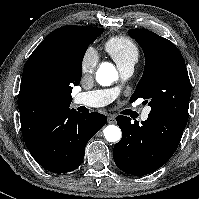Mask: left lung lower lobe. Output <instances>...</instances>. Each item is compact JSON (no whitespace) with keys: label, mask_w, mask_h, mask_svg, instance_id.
Segmentation results:
<instances>
[{"label":"left lung lower lobe","mask_w":199,"mask_h":199,"mask_svg":"<svg viewBox=\"0 0 199 199\" xmlns=\"http://www.w3.org/2000/svg\"><path fill=\"white\" fill-rule=\"evenodd\" d=\"M116 121L122 139L114 146V161L120 170L136 176L154 172L171 158L187 124L162 112H150L141 124L125 116Z\"/></svg>","instance_id":"1"}]
</instances>
